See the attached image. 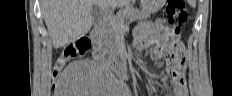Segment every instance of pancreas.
Masks as SVG:
<instances>
[{
    "mask_svg": "<svg viewBox=\"0 0 232 96\" xmlns=\"http://www.w3.org/2000/svg\"><path fill=\"white\" fill-rule=\"evenodd\" d=\"M149 12L139 11L133 7H126L119 10L115 15H109L103 20L96 45L108 52L115 53L116 37L124 29L126 21L132 22L149 17Z\"/></svg>",
    "mask_w": 232,
    "mask_h": 96,
    "instance_id": "1",
    "label": "pancreas"
}]
</instances>
